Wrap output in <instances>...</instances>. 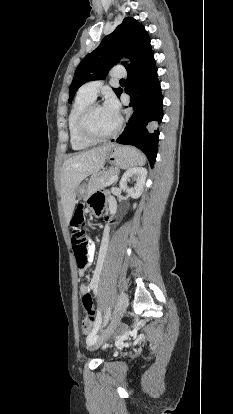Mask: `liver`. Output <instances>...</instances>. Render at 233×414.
Listing matches in <instances>:
<instances>
[{"instance_id": "6515ba94", "label": "liver", "mask_w": 233, "mask_h": 414, "mask_svg": "<svg viewBox=\"0 0 233 414\" xmlns=\"http://www.w3.org/2000/svg\"><path fill=\"white\" fill-rule=\"evenodd\" d=\"M113 144L99 146L80 152L66 159L61 170V202L64 215L70 221L75 203L76 190L89 175L98 172L105 164L107 152Z\"/></svg>"}]
</instances>
